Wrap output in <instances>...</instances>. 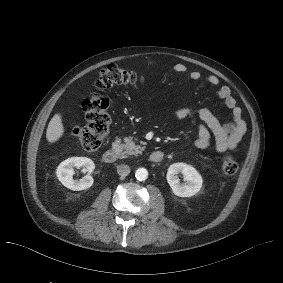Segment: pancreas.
<instances>
[{
    "label": "pancreas",
    "instance_id": "obj_1",
    "mask_svg": "<svg viewBox=\"0 0 283 283\" xmlns=\"http://www.w3.org/2000/svg\"><path fill=\"white\" fill-rule=\"evenodd\" d=\"M125 151L129 155H135L141 154V151L145 149L143 146L135 145V142H133L130 138H125Z\"/></svg>",
    "mask_w": 283,
    "mask_h": 283
}]
</instances>
